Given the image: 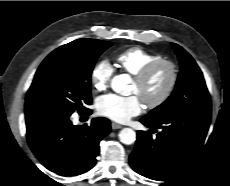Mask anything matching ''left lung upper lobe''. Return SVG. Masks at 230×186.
<instances>
[{"label": "left lung upper lobe", "instance_id": "left-lung-upper-lobe-1", "mask_svg": "<svg viewBox=\"0 0 230 186\" xmlns=\"http://www.w3.org/2000/svg\"><path fill=\"white\" fill-rule=\"evenodd\" d=\"M181 69L171 96L145 117L160 121L192 112H211V102L203 74L194 59L179 45L172 44Z\"/></svg>", "mask_w": 230, "mask_h": 186}]
</instances>
